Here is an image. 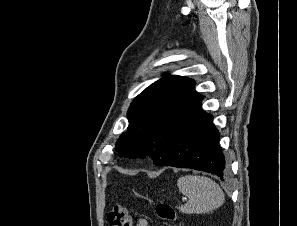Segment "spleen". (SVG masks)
Listing matches in <instances>:
<instances>
[{"mask_svg":"<svg viewBox=\"0 0 297 226\" xmlns=\"http://www.w3.org/2000/svg\"><path fill=\"white\" fill-rule=\"evenodd\" d=\"M179 191L188 197L179 210L186 214H202L220 207L225 199L220 186L212 179L200 175H185L177 181Z\"/></svg>","mask_w":297,"mask_h":226,"instance_id":"spleen-1","label":"spleen"}]
</instances>
